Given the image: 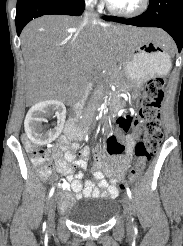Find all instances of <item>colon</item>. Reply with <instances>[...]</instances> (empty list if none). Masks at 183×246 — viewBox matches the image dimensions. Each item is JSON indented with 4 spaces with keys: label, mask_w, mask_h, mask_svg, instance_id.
<instances>
[{
    "label": "colon",
    "mask_w": 183,
    "mask_h": 246,
    "mask_svg": "<svg viewBox=\"0 0 183 246\" xmlns=\"http://www.w3.org/2000/svg\"><path fill=\"white\" fill-rule=\"evenodd\" d=\"M163 98L164 80L162 78L151 79L142 97L138 117L129 115L120 117L115 126V133H108L106 151L109 157H124L127 147H123L118 138L126 137V133L134 127L140 129L139 141L135 147L136 162L129 175L130 181H134L141 176L146 163L154 156L161 143L160 108ZM25 146L32 162L41 167L43 175H48L49 167L45 150L26 140ZM116 187L118 190L122 189V182H119ZM60 207L63 209L62 204H60Z\"/></svg>",
    "instance_id": "colon-1"
}]
</instances>
